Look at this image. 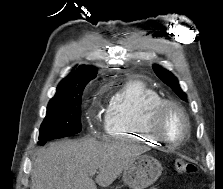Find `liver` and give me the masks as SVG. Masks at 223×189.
Wrapping results in <instances>:
<instances>
[{
    "label": "liver",
    "instance_id": "obj_1",
    "mask_svg": "<svg viewBox=\"0 0 223 189\" xmlns=\"http://www.w3.org/2000/svg\"><path fill=\"white\" fill-rule=\"evenodd\" d=\"M136 145L94 138L50 143L36 155L31 189H97L111 185L130 162L139 156ZM98 170L95 181L90 172Z\"/></svg>",
    "mask_w": 223,
    "mask_h": 189
}]
</instances>
